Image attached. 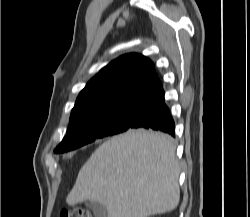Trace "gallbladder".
Here are the masks:
<instances>
[{
  "instance_id": "gallbladder-1",
  "label": "gallbladder",
  "mask_w": 250,
  "mask_h": 217,
  "mask_svg": "<svg viewBox=\"0 0 250 217\" xmlns=\"http://www.w3.org/2000/svg\"><path fill=\"white\" fill-rule=\"evenodd\" d=\"M85 205L92 210L95 217H108L105 206L98 202H86Z\"/></svg>"
}]
</instances>
